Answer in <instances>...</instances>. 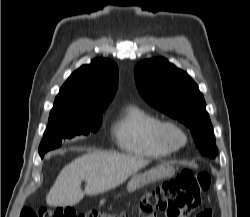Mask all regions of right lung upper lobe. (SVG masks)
I'll return each instance as SVG.
<instances>
[{"label": "right lung upper lobe", "mask_w": 250, "mask_h": 217, "mask_svg": "<svg viewBox=\"0 0 250 217\" xmlns=\"http://www.w3.org/2000/svg\"><path fill=\"white\" fill-rule=\"evenodd\" d=\"M118 83L117 65L104 58L92 60L71 74L56 96L49 119L104 111Z\"/></svg>", "instance_id": "1"}]
</instances>
